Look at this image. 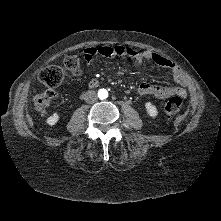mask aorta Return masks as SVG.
I'll return each instance as SVG.
<instances>
[{
	"label": "aorta",
	"mask_w": 221,
	"mask_h": 221,
	"mask_svg": "<svg viewBox=\"0 0 221 221\" xmlns=\"http://www.w3.org/2000/svg\"><path fill=\"white\" fill-rule=\"evenodd\" d=\"M98 97L103 100L106 99L108 97V91L106 89H100L98 91Z\"/></svg>",
	"instance_id": "aorta-1"
}]
</instances>
